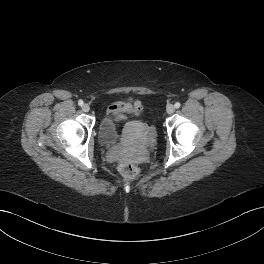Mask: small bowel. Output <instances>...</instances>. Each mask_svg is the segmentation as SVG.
Listing matches in <instances>:
<instances>
[{
    "mask_svg": "<svg viewBox=\"0 0 264 264\" xmlns=\"http://www.w3.org/2000/svg\"><path fill=\"white\" fill-rule=\"evenodd\" d=\"M143 106L141 102L135 101L133 103L118 101L110 105L107 113L114 119H123L132 114L142 112Z\"/></svg>",
    "mask_w": 264,
    "mask_h": 264,
    "instance_id": "obj_1",
    "label": "small bowel"
}]
</instances>
